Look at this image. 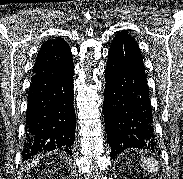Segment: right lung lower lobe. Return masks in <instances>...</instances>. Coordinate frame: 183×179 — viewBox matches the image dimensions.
<instances>
[{
  "mask_svg": "<svg viewBox=\"0 0 183 179\" xmlns=\"http://www.w3.org/2000/svg\"><path fill=\"white\" fill-rule=\"evenodd\" d=\"M73 71L74 67L63 73L33 75L28 92L23 159L53 150L71 153L76 125Z\"/></svg>",
  "mask_w": 183,
  "mask_h": 179,
  "instance_id": "obj_1",
  "label": "right lung lower lobe"
}]
</instances>
